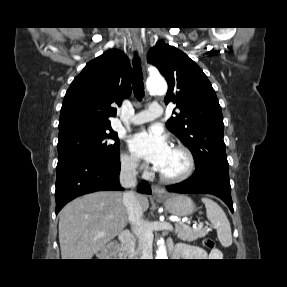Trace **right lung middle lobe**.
<instances>
[{
    "mask_svg": "<svg viewBox=\"0 0 287 287\" xmlns=\"http://www.w3.org/2000/svg\"><path fill=\"white\" fill-rule=\"evenodd\" d=\"M58 162L87 157L110 163L119 161L120 142L111 126L74 123L59 128Z\"/></svg>",
    "mask_w": 287,
    "mask_h": 287,
    "instance_id": "dd1d6c3e",
    "label": "right lung middle lobe"
}]
</instances>
